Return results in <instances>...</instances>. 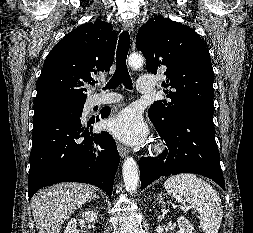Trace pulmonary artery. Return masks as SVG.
I'll list each match as a JSON object with an SVG mask.
<instances>
[{"mask_svg":"<svg viewBox=\"0 0 253 233\" xmlns=\"http://www.w3.org/2000/svg\"><path fill=\"white\" fill-rule=\"evenodd\" d=\"M138 90L141 93H151L155 88V80L152 77L141 76L137 80ZM118 95H105L96 97L93 100V105L113 104L120 100Z\"/></svg>","mask_w":253,"mask_h":233,"instance_id":"1","label":"pulmonary artery"}]
</instances>
